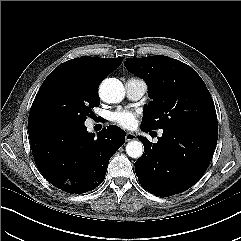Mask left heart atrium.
I'll return each mask as SVG.
<instances>
[{"mask_svg": "<svg viewBox=\"0 0 241 241\" xmlns=\"http://www.w3.org/2000/svg\"><path fill=\"white\" fill-rule=\"evenodd\" d=\"M111 120L123 128H132L136 124V114L131 111L119 110L111 114Z\"/></svg>", "mask_w": 241, "mask_h": 241, "instance_id": "1", "label": "left heart atrium"}]
</instances>
